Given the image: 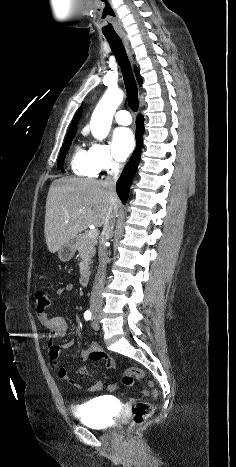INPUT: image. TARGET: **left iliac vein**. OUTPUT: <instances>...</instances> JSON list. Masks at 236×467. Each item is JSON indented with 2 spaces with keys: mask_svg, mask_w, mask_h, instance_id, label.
<instances>
[{
  "mask_svg": "<svg viewBox=\"0 0 236 467\" xmlns=\"http://www.w3.org/2000/svg\"><path fill=\"white\" fill-rule=\"evenodd\" d=\"M91 326L94 330H98L99 329V322H98V318L96 316H94V318L92 319L91 321Z\"/></svg>",
  "mask_w": 236,
  "mask_h": 467,
  "instance_id": "left-iliac-vein-1",
  "label": "left iliac vein"
}]
</instances>
